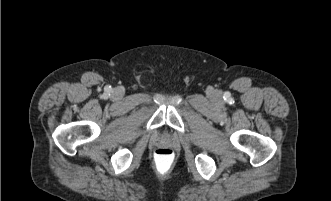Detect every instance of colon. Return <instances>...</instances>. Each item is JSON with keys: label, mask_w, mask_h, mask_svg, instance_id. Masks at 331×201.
Returning a JSON list of instances; mask_svg holds the SVG:
<instances>
[{"label": "colon", "mask_w": 331, "mask_h": 201, "mask_svg": "<svg viewBox=\"0 0 331 201\" xmlns=\"http://www.w3.org/2000/svg\"><path fill=\"white\" fill-rule=\"evenodd\" d=\"M153 163L160 174L171 172L176 163L175 152L169 147H159L154 151Z\"/></svg>", "instance_id": "obj_1"}]
</instances>
